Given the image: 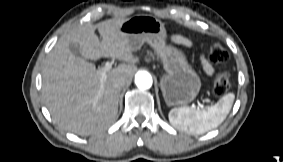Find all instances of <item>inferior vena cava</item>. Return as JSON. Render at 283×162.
Instances as JSON below:
<instances>
[{"mask_svg":"<svg viewBox=\"0 0 283 162\" xmlns=\"http://www.w3.org/2000/svg\"><path fill=\"white\" fill-rule=\"evenodd\" d=\"M116 85L119 86V87H123L125 85V79L124 78L117 79Z\"/></svg>","mask_w":283,"mask_h":162,"instance_id":"1","label":"inferior vena cava"}]
</instances>
